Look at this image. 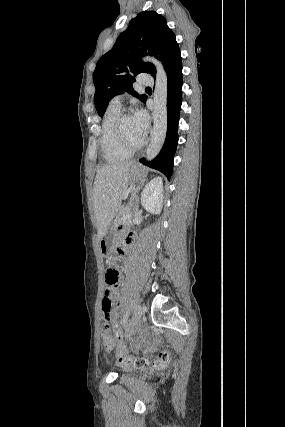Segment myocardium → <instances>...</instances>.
I'll return each mask as SVG.
<instances>
[{
	"label": "myocardium",
	"mask_w": 285,
	"mask_h": 427,
	"mask_svg": "<svg viewBox=\"0 0 285 427\" xmlns=\"http://www.w3.org/2000/svg\"><path fill=\"white\" fill-rule=\"evenodd\" d=\"M130 116H132V114L129 112H121L116 119L114 131L120 145L128 151L134 152L141 149L146 144V139H143L138 144H131L128 142L123 132V122L127 117Z\"/></svg>",
	"instance_id": "myocardium-1"
}]
</instances>
